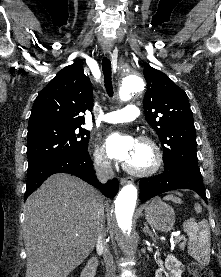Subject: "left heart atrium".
I'll use <instances>...</instances> for the list:
<instances>
[{"instance_id": "39dd6f15", "label": "left heart atrium", "mask_w": 221, "mask_h": 277, "mask_svg": "<svg viewBox=\"0 0 221 277\" xmlns=\"http://www.w3.org/2000/svg\"><path fill=\"white\" fill-rule=\"evenodd\" d=\"M137 141L128 135L110 134L107 138V149L111 158L127 162L133 154Z\"/></svg>"}]
</instances>
